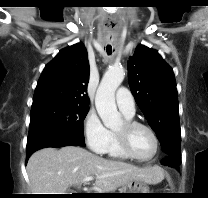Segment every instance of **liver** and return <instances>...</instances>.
<instances>
[{"instance_id": "6515ba94", "label": "liver", "mask_w": 208, "mask_h": 198, "mask_svg": "<svg viewBox=\"0 0 208 198\" xmlns=\"http://www.w3.org/2000/svg\"><path fill=\"white\" fill-rule=\"evenodd\" d=\"M27 173L33 194H66L68 187L86 177H95L94 187L105 193L131 181L154 184L163 179L156 168L107 160L77 146L36 151L28 160Z\"/></svg>"}]
</instances>
